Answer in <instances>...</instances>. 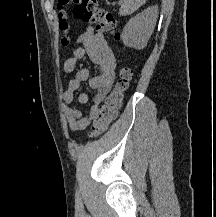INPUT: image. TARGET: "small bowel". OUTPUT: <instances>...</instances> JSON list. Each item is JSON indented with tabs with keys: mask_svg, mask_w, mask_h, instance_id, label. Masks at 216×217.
Here are the masks:
<instances>
[{
	"mask_svg": "<svg viewBox=\"0 0 216 217\" xmlns=\"http://www.w3.org/2000/svg\"><path fill=\"white\" fill-rule=\"evenodd\" d=\"M77 43L78 46L72 56L64 63V71L67 74L73 73L77 62L88 57L98 66L100 72L98 75L91 77L88 69L78 70L74 78L69 81L67 90L63 93L65 120L72 132L82 131L96 120L99 105L112 88L116 68V58L110 44L101 33L96 32L92 27H87L79 35ZM84 81H87L90 88L95 90L94 104L87 116H84L81 110L72 104L75 91ZM87 101L88 95L86 93L82 92L77 95L79 104H85Z\"/></svg>",
	"mask_w": 216,
	"mask_h": 217,
	"instance_id": "c3829d8e",
	"label": "small bowel"
}]
</instances>
